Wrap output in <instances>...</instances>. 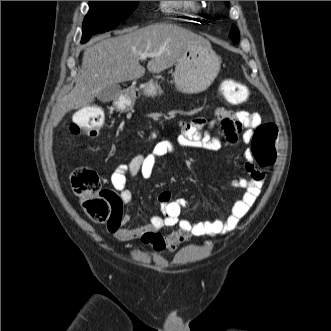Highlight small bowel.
Returning a JSON list of instances; mask_svg holds the SVG:
<instances>
[{
  "label": "small bowel",
  "mask_w": 331,
  "mask_h": 331,
  "mask_svg": "<svg viewBox=\"0 0 331 331\" xmlns=\"http://www.w3.org/2000/svg\"><path fill=\"white\" fill-rule=\"evenodd\" d=\"M261 124V116L246 111H230L222 107L215 109L214 117L207 120L196 117L189 121L180 122L181 134L177 144L163 140L157 142L152 150L146 154L135 156L128 163L116 166L111 174V184L118 192L121 203L128 204L132 200V193L128 188V179L141 174L144 178L151 177L156 161L166 155H178V146L183 148H200L210 151L218 150L222 145V137L230 144L237 141L242 134L243 141L249 143L254 129ZM220 127V132L213 134L211 130ZM207 128V130H206ZM244 168L248 178H236L231 181L235 188L244 190L242 197L235 202L226 219H215L200 222H190L181 219V213L188 207L184 199L172 200L168 191L160 192L158 201L164 216H153L150 222L138 226L127 227L129 215L121 217L119 225L111 229L114 237L119 241L140 240L150 246L155 252H173L181 244L192 237L224 235L233 230L240 220L250 211L264 183V174L255 166L250 149L244 153ZM164 227H177L176 230L162 235L159 230Z\"/></svg>",
  "instance_id": "1"
}]
</instances>
